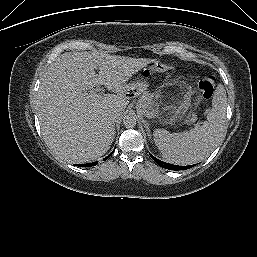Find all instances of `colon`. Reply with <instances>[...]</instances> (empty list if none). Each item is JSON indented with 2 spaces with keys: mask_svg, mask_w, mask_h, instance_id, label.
<instances>
[{
  "mask_svg": "<svg viewBox=\"0 0 257 257\" xmlns=\"http://www.w3.org/2000/svg\"><path fill=\"white\" fill-rule=\"evenodd\" d=\"M173 73V69L162 62H153L149 64L145 70L144 75L149 77L154 74H162V75H171ZM216 85V78L212 75H207L203 77L199 82V90L204 99H211L214 93Z\"/></svg>",
  "mask_w": 257,
  "mask_h": 257,
  "instance_id": "obj_1",
  "label": "colon"
}]
</instances>
